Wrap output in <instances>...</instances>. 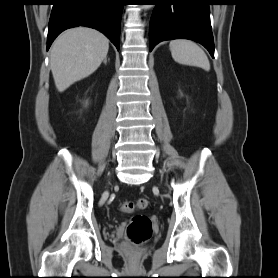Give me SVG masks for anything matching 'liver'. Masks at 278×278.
<instances>
[{"mask_svg": "<svg viewBox=\"0 0 278 278\" xmlns=\"http://www.w3.org/2000/svg\"><path fill=\"white\" fill-rule=\"evenodd\" d=\"M108 49L109 40L95 29L76 27L61 33L50 53V67L57 90L63 92L96 71Z\"/></svg>", "mask_w": 278, "mask_h": 278, "instance_id": "1", "label": "liver"}]
</instances>
